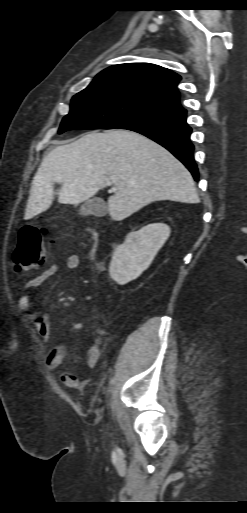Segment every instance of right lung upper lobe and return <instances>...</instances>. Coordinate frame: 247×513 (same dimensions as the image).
Instances as JSON below:
<instances>
[{
    "instance_id": "obj_1",
    "label": "right lung upper lobe",
    "mask_w": 247,
    "mask_h": 513,
    "mask_svg": "<svg viewBox=\"0 0 247 513\" xmlns=\"http://www.w3.org/2000/svg\"><path fill=\"white\" fill-rule=\"evenodd\" d=\"M180 79L176 73L158 65L126 63L103 70L83 91L94 88L125 90L175 111L182 109L176 89Z\"/></svg>"
}]
</instances>
